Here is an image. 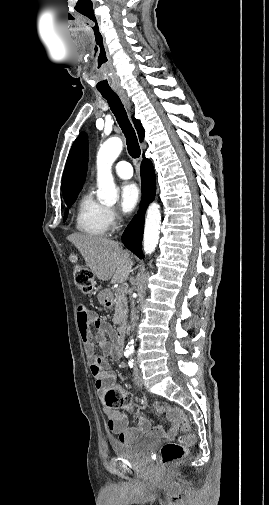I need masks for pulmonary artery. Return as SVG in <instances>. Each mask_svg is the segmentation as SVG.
<instances>
[{"label":"pulmonary artery","mask_w":269,"mask_h":505,"mask_svg":"<svg viewBox=\"0 0 269 505\" xmlns=\"http://www.w3.org/2000/svg\"><path fill=\"white\" fill-rule=\"evenodd\" d=\"M115 173L124 179L131 178L133 175V169L129 162L120 161L114 166Z\"/></svg>","instance_id":"pulmonary-artery-1"}]
</instances>
